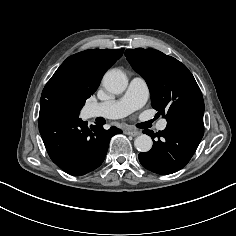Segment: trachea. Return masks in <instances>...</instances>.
I'll return each mask as SVG.
<instances>
[{
    "label": "trachea",
    "instance_id": "obj_1",
    "mask_svg": "<svg viewBox=\"0 0 236 236\" xmlns=\"http://www.w3.org/2000/svg\"><path fill=\"white\" fill-rule=\"evenodd\" d=\"M138 127L144 128L145 126H144V124H139Z\"/></svg>",
    "mask_w": 236,
    "mask_h": 236
}]
</instances>
